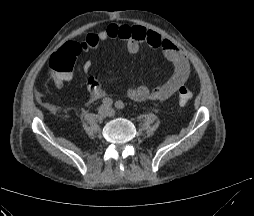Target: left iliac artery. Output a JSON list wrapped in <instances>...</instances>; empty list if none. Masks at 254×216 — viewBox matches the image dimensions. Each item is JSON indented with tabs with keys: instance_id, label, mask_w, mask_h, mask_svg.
Masks as SVG:
<instances>
[{
	"instance_id": "left-iliac-artery-1",
	"label": "left iliac artery",
	"mask_w": 254,
	"mask_h": 216,
	"mask_svg": "<svg viewBox=\"0 0 254 216\" xmlns=\"http://www.w3.org/2000/svg\"><path fill=\"white\" fill-rule=\"evenodd\" d=\"M115 107L118 109V110H122L124 109V103L122 101H117L115 103Z\"/></svg>"
}]
</instances>
